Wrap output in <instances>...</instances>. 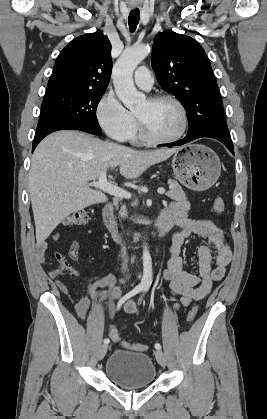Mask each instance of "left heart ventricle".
<instances>
[{"instance_id":"b2bd125f","label":"left heart ventricle","mask_w":267,"mask_h":419,"mask_svg":"<svg viewBox=\"0 0 267 419\" xmlns=\"http://www.w3.org/2000/svg\"><path fill=\"white\" fill-rule=\"evenodd\" d=\"M135 113L143 120L148 130L160 138L174 136L182 124L179 109L169 101L151 104L146 100Z\"/></svg>"}]
</instances>
